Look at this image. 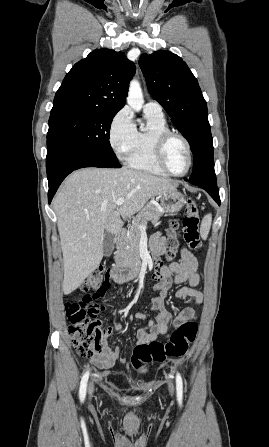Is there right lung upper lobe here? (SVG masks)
Wrapping results in <instances>:
<instances>
[{
  "label": "right lung upper lobe",
  "mask_w": 269,
  "mask_h": 447,
  "mask_svg": "<svg viewBox=\"0 0 269 447\" xmlns=\"http://www.w3.org/2000/svg\"><path fill=\"white\" fill-rule=\"evenodd\" d=\"M135 66L123 52L98 49L76 63L56 92L51 113L118 112L126 103Z\"/></svg>",
  "instance_id": "1"
}]
</instances>
